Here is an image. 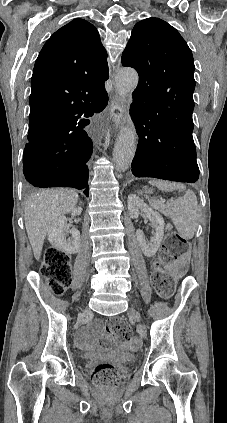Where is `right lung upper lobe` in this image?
<instances>
[{
	"label": "right lung upper lobe",
	"mask_w": 227,
	"mask_h": 423,
	"mask_svg": "<svg viewBox=\"0 0 227 423\" xmlns=\"http://www.w3.org/2000/svg\"><path fill=\"white\" fill-rule=\"evenodd\" d=\"M107 53L97 29L75 19L56 31L45 43L31 78L30 106L77 101L107 103ZM64 119L29 121V142H39L68 128Z\"/></svg>",
	"instance_id": "cb5924a9"
}]
</instances>
